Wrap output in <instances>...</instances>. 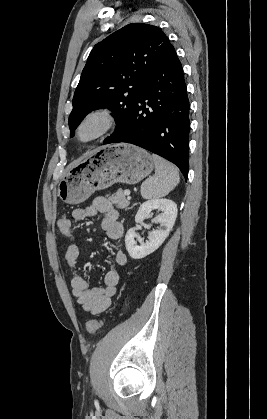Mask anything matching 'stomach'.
I'll return each instance as SVG.
<instances>
[{"label": "stomach", "mask_w": 267, "mask_h": 419, "mask_svg": "<svg viewBox=\"0 0 267 419\" xmlns=\"http://www.w3.org/2000/svg\"><path fill=\"white\" fill-rule=\"evenodd\" d=\"M153 168L152 156L142 148L125 143L103 146L67 170L58 183V196L78 204L114 183L136 184Z\"/></svg>", "instance_id": "0dacf381"}]
</instances>
